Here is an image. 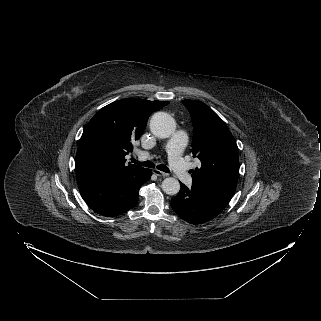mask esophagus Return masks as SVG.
<instances>
[{
  "label": "esophagus",
  "mask_w": 321,
  "mask_h": 321,
  "mask_svg": "<svg viewBox=\"0 0 321 321\" xmlns=\"http://www.w3.org/2000/svg\"><path fill=\"white\" fill-rule=\"evenodd\" d=\"M152 172H153V174L156 175V176H163V177L168 176L167 173L162 172V171H160V170H158V169H153Z\"/></svg>",
  "instance_id": "esophagus-1"
}]
</instances>
